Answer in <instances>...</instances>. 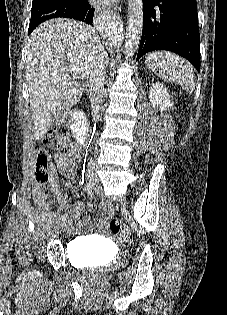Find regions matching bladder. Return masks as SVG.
Segmentation results:
<instances>
[{
  "label": "bladder",
  "instance_id": "bladder-1",
  "mask_svg": "<svg viewBox=\"0 0 227 315\" xmlns=\"http://www.w3.org/2000/svg\"><path fill=\"white\" fill-rule=\"evenodd\" d=\"M72 246L77 250L75 265L77 267H89L85 264L88 259L107 260L112 257L110 248L105 244H96L88 238L73 241Z\"/></svg>",
  "mask_w": 227,
  "mask_h": 315
}]
</instances>
